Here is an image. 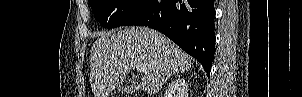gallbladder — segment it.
Listing matches in <instances>:
<instances>
[{
	"label": "gallbladder",
	"instance_id": "bac80fb5",
	"mask_svg": "<svg viewBox=\"0 0 302 97\" xmlns=\"http://www.w3.org/2000/svg\"><path fill=\"white\" fill-rule=\"evenodd\" d=\"M121 90H122V92H125V93H133L134 91L137 90V88L131 87V86H126V87H123Z\"/></svg>",
	"mask_w": 302,
	"mask_h": 97
}]
</instances>
